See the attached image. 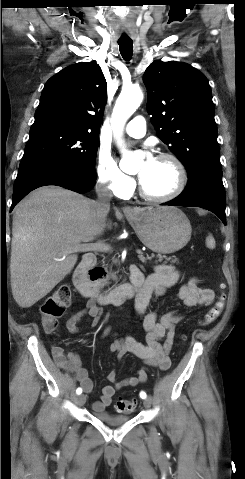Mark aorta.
I'll list each match as a JSON object with an SVG mask.
<instances>
[{
  "label": "aorta",
  "mask_w": 245,
  "mask_h": 479,
  "mask_svg": "<svg viewBox=\"0 0 245 479\" xmlns=\"http://www.w3.org/2000/svg\"><path fill=\"white\" fill-rule=\"evenodd\" d=\"M143 100V93L139 87L130 86L123 88L113 109L112 128L123 156L120 168L128 174L136 173L140 168V160L124 148L122 131L127 119L136 111Z\"/></svg>",
  "instance_id": "1"
}]
</instances>
